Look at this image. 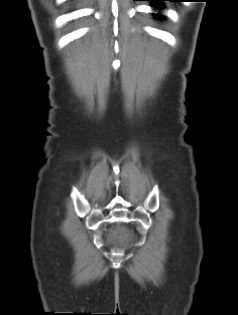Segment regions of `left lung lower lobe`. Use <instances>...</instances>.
<instances>
[{
	"label": "left lung lower lobe",
	"instance_id": "left-lung-lower-lobe-1",
	"mask_svg": "<svg viewBox=\"0 0 238 315\" xmlns=\"http://www.w3.org/2000/svg\"><path fill=\"white\" fill-rule=\"evenodd\" d=\"M148 1H156V2H159V1H172V0H148ZM154 7H156V8H162V6L161 5H158V4H155L154 5Z\"/></svg>",
	"mask_w": 238,
	"mask_h": 315
}]
</instances>
